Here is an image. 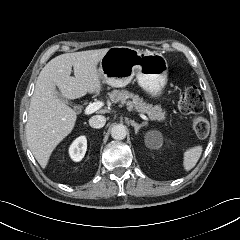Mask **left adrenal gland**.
Instances as JSON below:
<instances>
[{"instance_id": "left-adrenal-gland-1", "label": "left adrenal gland", "mask_w": 240, "mask_h": 240, "mask_svg": "<svg viewBox=\"0 0 240 240\" xmlns=\"http://www.w3.org/2000/svg\"><path fill=\"white\" fill-rule=\"evenodd\" d=\"M131 125L134 127L135 134H137L143 126L146 125V122H143L141 124L136 123L134 120H130Z\"/></svg>"}]
</instances>
